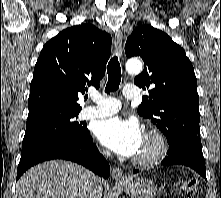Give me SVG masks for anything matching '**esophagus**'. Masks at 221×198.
<instances>
[{
  "label": "esophagus",
  "instance_id": "esophagus-1",
  "mask_svg": "<svg viewBox=\"0 0 221 198\" xmlns=\"http://www.w3.org/2000/svg\"><path fill=\"white\" fill-rule=\"evenodd\" d=\"M122 43H123V35L120 30H117L115 32V45L117 49V53L120 58L123 56V50H122ZM112 177L116 181H122L123 180V171L120 167H114L112 170Z\"/></svg>",
  "mask_w": 221,
  "mask_h": 198
}]
</instances>
